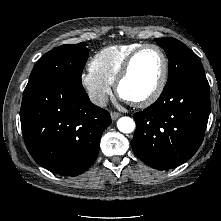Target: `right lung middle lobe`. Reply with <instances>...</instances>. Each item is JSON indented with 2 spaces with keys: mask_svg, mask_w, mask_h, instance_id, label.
Instances as JSON below:
<instances>
[{
  "mask_svg": "<svg viewBox=\"0 0 221 221\" xmlns=\"http://www.w3.org/2000/svg\"><path fill=\"white\" fill-rule=\"evenodd\" d=\"M86 43L61 45L46 53L33 68L30 80L55 86L66 83L82 85L81 74L89 51Z\"/></svg>",
  "mask_w": 221,
  "mask_h": 221,
  "instance_id": "1",
  "label": "right lung middle lobe"
}]
</instances>
